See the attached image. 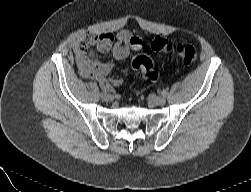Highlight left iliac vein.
Listing matches in <instances>:
<instances>
[{
    "instance_id": "1",
    "label": "left iliac vein",
    "mask_w": 251,
    "mask_h": 192,
    "mask_svg": "<svg viewBox=\"0 0 251 192\" xmlns=\"http://www.w3.org/2000/svg\"><path fill=\"white\" fill-rule=\"evenodd\" d=\"M166 102V98L164 96H157L152 99V103L156 106H163Z\"/></svg>"
}]
</instances>
